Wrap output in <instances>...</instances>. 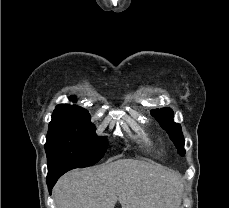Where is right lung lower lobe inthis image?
I'll use <instances>...</instances> for the list:
<instances>
[{
	"label": "right lung lower lobe",
	"instance_id": "obj_1",
	"mask_svg": "<svg viewBox=\"0 0 229 208\" xmlns=\"http://www.w3.org/2000/svg\"><path fill=\"white\" fill-rule=\"evenodd\" d=\"M73 168H66V169H62V170H59L55 173H52V174H49L47 175V185H48V190L51 194L52 192V188L53 186L55 185V183L57 182V180L64 174L66 173L67 171L71 170Z\"/></svg>",
	"mask_w": 229,
	"mask_h": 208
}]
</instances>
